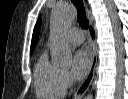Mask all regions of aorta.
<instances>
[{
    "instance_id": "aorta-1",
    "label": "aorta",
    "mask_w": 128,
    "mask_h": 99,
    "mask_svg": "<svg viewBox=\"0 0 128 99\" xmlns=\"http://www.w3.org/2000/svg\"><path fill=\"white\" fill-rule=\"evenodd\" d=\"M74 17L73 9L67 5L56 6L51 13V56L53 63L61 67L72 62V50L64 38V30ZM86 99H93L92 95Z\"/></svg>"
}]
</instances>
